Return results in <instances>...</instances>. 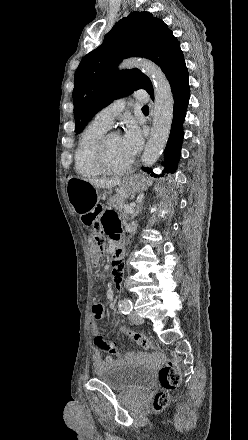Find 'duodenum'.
Segmentation results:
<instances>
[{
    "label": "duodenum",
    "instance_id": "1",
    "mask_svg": "<svg viewBox=\"0 0 248 440\" xmlns=\"http://www.w3.org/2000/svg\"><path fill=\"white\" fill-rule=\"evenodd\" d=\"M124 254V245L120 238L115 239V246L113 250V266H118L117 259H121Z\"/></svg>",
    "mask_w": 248,
    "mask_h": 440
}]
</instances>
